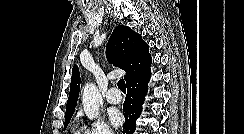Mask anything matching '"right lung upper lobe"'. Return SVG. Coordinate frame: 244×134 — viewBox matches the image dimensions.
<instances>
[{"label":"right lung upper lobe","mask_w":244,"mask_h":134,"mask_svg":"<svg viewBox=\"0 0 244 134\" xmlns=\"http://www.w3.org/2000/svg\"><path fill=\"white\" fill-rule=\"evenodd\" d=\"M109 63L126 72L124 79L127 85L150 75L151 55L149 46L141 35L123 25L117 26L111 34L106 48ZM80 90V74L77 65L72 69L70 93L66 105V115L74 113Z\"/></svg>","instance_id":"1"}]
</instances>
